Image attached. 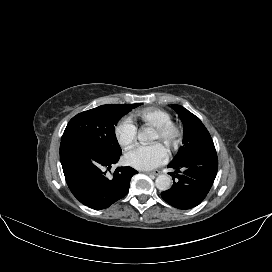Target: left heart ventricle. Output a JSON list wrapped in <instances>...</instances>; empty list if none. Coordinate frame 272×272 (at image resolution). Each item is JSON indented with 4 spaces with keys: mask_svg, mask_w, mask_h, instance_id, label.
I'll return each mask as SVG.
<instances>
[{
    "mask_svg": "<svg viewBox=\"0 0 272 272\" xmlns=\"http://www.w3.org/2000/svg\"><path fill=\"white\" fill-rule=\"evenodd\" d=\"M158 140H160V137H159L158 133L156 131H154L153 141H158Z\"/></svg>",
    "mask_w": 272,
    "mask_h": 272,
    "instance_id": "b2bd125f",
    "label": "left heart ventricle"
}]
</instances>
